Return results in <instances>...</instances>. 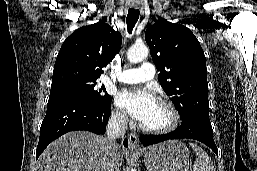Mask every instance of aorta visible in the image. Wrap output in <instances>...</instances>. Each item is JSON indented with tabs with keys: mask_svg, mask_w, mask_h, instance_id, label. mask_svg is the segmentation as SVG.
Returning <instances> with one entry per match:
<instances>
[{
	"mask_svg": "<svg viewBox=\"0 0 257 171\" xmlns=\"http://www.w3.org/2000/svg\"><path fill=\"white\" fill-rule=\"evenodd\" d=\"M149 49L144 44H135L128 50L127 58L131 63H138L147 58Z\"/></svg>",
	"mask_w": 257,
	"mask_h": 171,
	"instance_id": "obj_1",
	"label": "aorta"
}]
</instances>
